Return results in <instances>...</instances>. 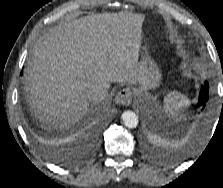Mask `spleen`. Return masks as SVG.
<instances>
[{"instance_id": "1", "label": "spleen", "mask_w": 223, "mask_h": 188, "mask_svg": "<svg viewBox=\"0 0 223 188\" xmlns=\"http://www.w3.org/2000/svg\"><path fill=\"white\" fill-rule=\"evenodd\" d=\"M190 104V100L183 94L172 91L164 97V111L168 116L175 117L183 108Z\"/></svg>"}]
</instances>
